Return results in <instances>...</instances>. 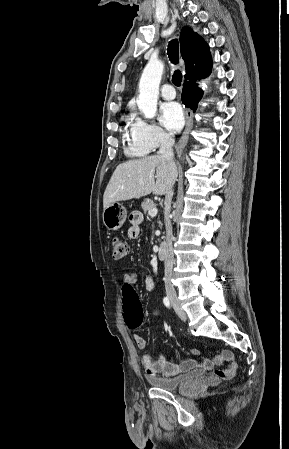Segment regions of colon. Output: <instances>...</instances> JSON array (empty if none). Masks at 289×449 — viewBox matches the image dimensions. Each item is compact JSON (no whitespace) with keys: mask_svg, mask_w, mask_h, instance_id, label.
I'll return each instance as SVG.
<instances>
[{"mask_svg":"<svg viewBox=\"0 0 289 449\" xmlns=\"http://www.w3.org/2000/svg\"><path fill=\"white\" fill-rule=\"evenodd\" d=\"M129 252L128 244L120 238L112 239V254L117 260L123 259ZM123 290V310H125L126 323L130 328L138 327L142 322V311L136 290L131 283L125 284Z\"/></svg>","mask_w":289,"mask_h":449,"instance_id":"obj_1","label":"colon"}]
</instances>
